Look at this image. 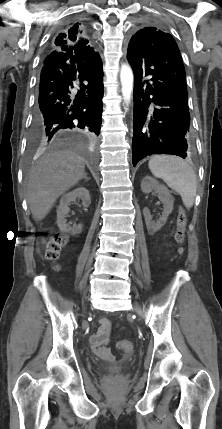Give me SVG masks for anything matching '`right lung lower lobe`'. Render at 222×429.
<instances>
[{"label": "right lung lower lobe", "instance_id": "obj_1", "mask_svg": "<svg viewBox=\"0 0 222 429\" xmlns=\"http://www.w3.org/2000/svg\"><path fill=\"white\" fill-rule=\"evenodd\" d=\"M79 80V90H72ZM103 69L100 55L87 60L53 52L39 78L38 104L31 136L55 142L71 131L99 135L102 120Z\"/></svg>", "mask_w": 222, "mask_h": 429}]
</instances>
